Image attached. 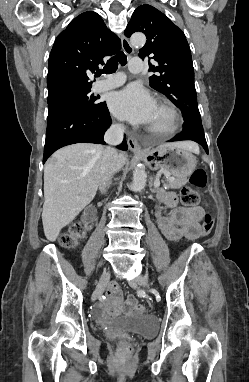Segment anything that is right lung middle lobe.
<instances>
[{"label": "right lung middle lobe", "instance_id": "1", "mask_svg": "<svg viewBox=\"0 0 249 382\" xmlns=\"http://www.w3.org/2000/svg\"><path fill=\"white\" fill-rule=\"evenodd\" d=\"M100 105L101 102L91 93V89L71 94L48 103L47 122L77 113H94Z\"/></svg>", "mask_w": 249, "mask_h": 382}]
</instances>
